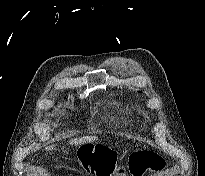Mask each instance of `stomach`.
<instances>
[{"label": "stomach", "mask_w": 205, "mask_h": 176, "mask_svg": "<svg viewBox=\"0 0 205 176\" xmlns=\"http://www.w3.org/2000/svg\"><path fill=\"white\" fill-rule=\"evenodd\" d=\"M86 145H88V144H86ZM96 147H97V144H92L91 146L84 147V149H90V148L95 149Z\"/></svg>", "instance_id": "0dacf381"}]
</instances>
